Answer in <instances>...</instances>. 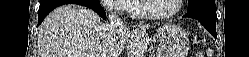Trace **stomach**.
Listing matches in <instances>:
<instances>
[{
    "instance_id": "0dacf381",
    "label": "stomach",
    "mask_w": 249,
    "mask_h": 57,
    "mask_svg": "<svg viewBox=\"0 0 249 57\" xmlns=\"http://www.w3.org/2000/svg\"><path fill=\"white\" fill-rule=\"evenodd\" d=\"M159 49L156 57H186L189 50L187 32L174 24H165L156 30Z\"/></svg>"
}]
</instances>
